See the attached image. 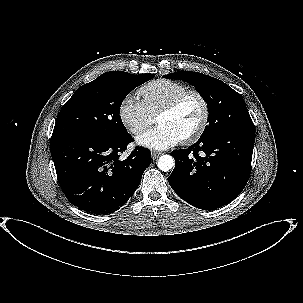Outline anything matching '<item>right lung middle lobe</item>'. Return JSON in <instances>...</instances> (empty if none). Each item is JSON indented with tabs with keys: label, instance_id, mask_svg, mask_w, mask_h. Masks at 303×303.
I'll return each instance as SVG.
<instances>
[{
	"label": "right lung middle lobe",
	"instance_id": "right-lung-middle-lobe-1",
	"mask_svg": "<svg viewBox=\"0 0 303 303\" xmlns=\"http://www.w3.org/2000/svg\"><path fill=\"white\" fill-rule=\"evenodd\" d=\"M154 76L111 71L81 86L61 108L52 138L68 135L118 138L126 135L128 132L119 115L121 103L129 92Z\"/></svg>",
	"mask_w": 303,
	"mask_h": 303
}]
</instances>
